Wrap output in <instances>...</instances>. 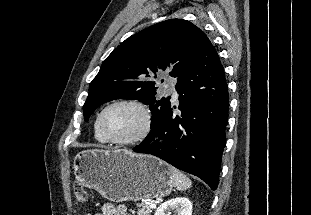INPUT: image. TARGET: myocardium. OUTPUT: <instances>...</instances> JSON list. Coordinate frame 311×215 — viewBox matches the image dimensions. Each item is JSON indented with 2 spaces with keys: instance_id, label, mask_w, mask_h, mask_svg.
Segmentation results:
<instances>
[{
  "instance_id": "f54148a6",
  "label": "myocardium",
  "mask_w": 311,
  "mask_h": 215,
  "mask_svg": "<svg viewBox=\"0 0 311 215\" xmlns=\"http://www.w3.org/2000/svg\"><path fill=\"white\" fill-rule=\"evenodd\" d=\"M117 105H130L133 107H136L143 115V126L142 129L133 137L125 138V139H118L110 137L106 134L104 128H103V117L105 113L112 107ZM97 127L99 130V133L103 137V139L106 142L116 144V145H123V146H129V145H135L147 138L151 131L152 127V117L151 112L149 108L141 101L136 99H118L115 100L108 105H106L99 113L97 117Z\"/></svg>"
}]
</instances>
